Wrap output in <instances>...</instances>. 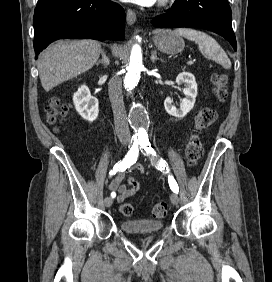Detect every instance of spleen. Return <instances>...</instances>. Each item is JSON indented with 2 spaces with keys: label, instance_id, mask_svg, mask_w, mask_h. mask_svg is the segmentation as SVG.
I'll return each instance as SVG.
<instances>
[{
  "label": "spleen",
  "instance_id": "1",
  "mask_svg": "<svg viewBox=\"0 0 272 282\" xmlns=\"http://www.w3.org/2000/svg\"><path fill=\"white\" fill-rule=\"evenodd\" d=\"M173 34L195 42L203 56L218 62L225 69L231 68V61L227 54L215 39L206 33L190 28H178L173 31Z\"/></svg>",
  "mask_w": 272,
  "mask_h": 282
}]
</instances>
